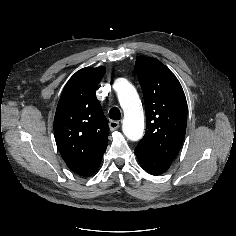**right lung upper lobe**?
<instances>
[{
  "label": "right lung upper lobe",
  "instance_id": "right-lung-upper-lobe-1",
  "mask_svg": "<svg viewBox=\"0 0 236 236\" xmlns=\"http://www.w3.org/2000/svg\"><path fill=\"white\" fill-rule=\"evenodd\" d=\"M105 68L86 67L67 82L54 118V136L67 166L88 177L98 169L108 144V122L96 98Z\"/></svg>",
  "mask_w": 236,
  "mask_h": 236
}]
</instances>
